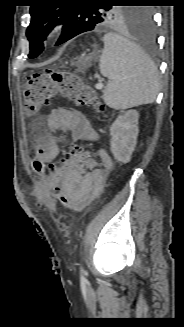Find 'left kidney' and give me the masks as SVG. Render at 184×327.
Returning a JSON list of instances; mask_svg holds the SVG:
<instances>
[{"mask_svg": "<svg viewBox=\"0 0 184 327\" xmlns=\"http://www.w3.org/2000/svg\"><path fill=\"white\" fill-rule=\"evenodd\" d=\"M139 113L130 109L119 115L110 127L111 151L114 158L122 163L131 160L137 144Z\"/></svg>", "mask_w": 184, "mask_h": 327, "instance_id": "1", "label": "left kidney"}]
</instances>
